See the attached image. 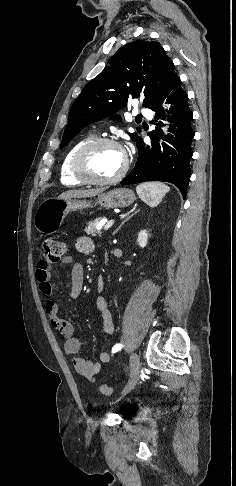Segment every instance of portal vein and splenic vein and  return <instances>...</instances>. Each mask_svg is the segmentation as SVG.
I'll use <instances>...</instances> for the list:
<instances>
[{"label":"portal vein and splenic vein","mask_w":236,"mask_h":486,"mask_svg":"<svg viewBox=\"0 0 236 486\" xmlns=\"http://www.w3.org/2000/svg\"><path fill=\"white\" fill-rule=\"evenodd\" d=\"M113 224H114V220H110V221H108V222L105 224L104 229H105V230H108L109 228H111V227H112V225H113ZM97 228L99 229V228H100V226H98Z\"/></svg>","instance_id":"portal-vein-and-splenic-vein-1"}]
</instances>
